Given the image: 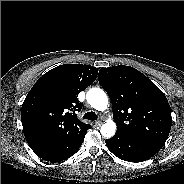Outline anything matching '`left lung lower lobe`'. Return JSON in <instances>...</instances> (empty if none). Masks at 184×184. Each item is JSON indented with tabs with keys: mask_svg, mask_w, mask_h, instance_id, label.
Wrapping results in <instances>:
<instances>
[{
	"mask_svg": "<svg viewBox=\"0 0 184 184\" xmlns=\"http://www.w3.org/2000/svg\"><path fill=\"white\" fill-rule=\"evenodd\" d=\"M108 149L118 158L128 162H142L150 159L158 151L122 132L105 140Z\"/></svg>",
	"mask_w": 184,
	"mask_h": 184,
	"instance_id": "left-lung-lower-lobe-1",
	"label": "left lung lower lobe"
}]
</instances>
